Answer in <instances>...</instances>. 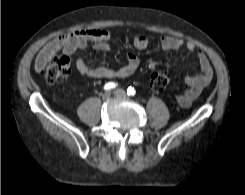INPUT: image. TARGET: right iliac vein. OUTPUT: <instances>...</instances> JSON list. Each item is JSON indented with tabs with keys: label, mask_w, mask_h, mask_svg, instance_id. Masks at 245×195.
<instances>
[{
	"label": "right iliac vein",
	"mask_w": 245,
	"mask_h": 195,
	"mask_svg": "<svg viewBox=\"0 0 245 195\" xmlns=\"http://www.w3.org/2000/svg\"><path fill=\"white\" fill-rule=\"evenodd\" d=\"M111 97V92H105L103 95H102V100L103 101H106L108 99H110Z\"/></svg>",
	"instance_id": "1"
}]
</instances>
